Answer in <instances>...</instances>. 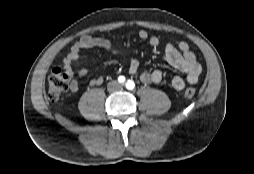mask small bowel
<instances>
[{
  "label": "small bowel",
  "mask_w": 254,
  "mask_h": 174,
  "mask_svg": "<svg viewBox=\"0 0 254 174\" xmlns=\"http://www.w3.org/2000/svg\"><path fill=\"white\" fill-rule=\"evenodd\" d=\"M138 36L142 40H148L150 45L157 47L160 43L157 36H150L146 30H140ZM94 47H103L117 52L116 47L107 39L93 37L91 35L81 36L70 48L69 53L63 59L62 67L71 78L70 90L75 92L78 90V82L74 78V74L78 77H85L88 73L87 69L81 66L79 62L80 52L83 49ZM162 56L165 61L174 69L185 74V78L176 76L171 81V86L174 90L181 91L188 85H194L198 82L202 67L196 60L195 55L191 51L189 45L184 42H178L176 45L167 44L162 50ZM75 71H74V69ZM139 71V62L136 59H131L129 62V73L137 74ZM163 79L161 70L143 71L140 74V80L144 84H156ZM104 79L102 76H97L89 81L91 86H100Z\"/></svg>",
  "instance_id": "1"
}]
</instances>
